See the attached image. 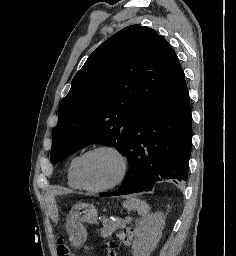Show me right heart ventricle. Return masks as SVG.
Wrapping results in <instances>:
<instances>
[{
  "label": "right heart ventricle",
  "instance_id": "obj_1",
  "mask_svg": "<svg viewBox=\"0 0 236 256\" xmlns=\"http://www.w3.org/2000/svg\"><path fill=\"white\" fill-rule=\"evenodd\" d=\"M81 154H82L81 152L76 153L69 159V161L67 163L66 181H67L68 186L72 189H81V186L76 177V165H77V161H78L79 157L81 156Z\"/></svg>",
  "mask_w": 236,
  "mask_h": 256
}]
</instances>
